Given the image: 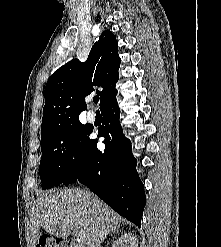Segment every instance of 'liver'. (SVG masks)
<instances>
[{"label": "liver", "mask_w": 221, "mask_h": 247, "mask_svg": "<svg viewBox=\"0 0 221 247\" xmlns=\"http://www.w3.org/2000/svg\"><path fill=\"white\" fill-rule=\"evenodd\" d=\"M30 223L33 247L41 229L63 239L74 235L79 247H100L109 233L119 229L121 218L93 193L77 188L40 196Z\"/></svg>", "instance_id": "obj_1"}]
</instances>
